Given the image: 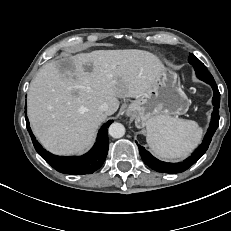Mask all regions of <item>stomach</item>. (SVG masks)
I'll list each match as a JSON object with an SVG mask.
<instances>
[{
    "label": "stomach",
    "mask_w": 231,
    "mask_h": 231,
    "mask_svg": "<svg viewBox=\"0 0 231 231\" xmlns=\"http://www.w3.org/2000/svg\"><path fill=\"white\" fill-rule=\"evenodd\" d=\"M189 102L178 75L165 69L153 86L140 98L132 101L127 114L135 119L138 128L166 117H177L187 112Z\"/></svg>",
    "instance_id": "stomach-1"
}]
</instances>
